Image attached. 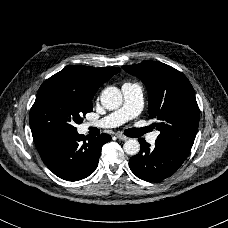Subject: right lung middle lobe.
<instances>
[{
  "instance_id": "obj_1",
  "label": "right lung middle lobe",
  "mask_w": 228,
  "mask_h": 228,
  "mask_svg": "<svg viewBox=\"0 0 228 228\" xmlns=\"http://www.w3.org/2000/svg\"><path fill=\"white\" fill-rule=\"evenodd\" d=\"M93 104L77 89L57 79H47L39 88L30 111L34 139L57 132H75L82 115L91 112Z\"/></svg>"
}]
</instances>
